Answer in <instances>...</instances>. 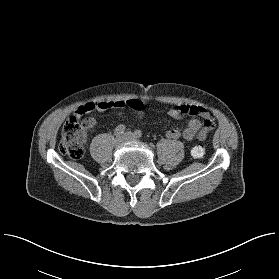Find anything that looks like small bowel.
<instances>
[{
    "instance_id": "c3829d8e",
    "label": "small bowel",
    "mask_w": 279,
    "mask_h": 279,
    "mask_svg": "<svg viewBox=\"0 0 279 279\" xmlns=\"http://www.w3.org/2000/svg\"><path fill=\"white\" fill-rule=\"evenodd\" d=\"M125 103L123 101H114V102H106L101 101L98 103H87L85 105L80 106L76 112V116H81L85 113H88L94 109L99 111H106L111 108H121L124 107ZM168 115L173 119H182L187 115H194L202 119L193 118L189 120L187 127L181 132L178 129L171 128L166 132V136L169 139H179L184 138L185 140H193L195 138L199 140H205L208 137V134L211 130H213L215 126V119L213 116L203 107L201 106H191V105H183L179 108L172 107L167 111Z\"/></svg>"
}]
</instances>
